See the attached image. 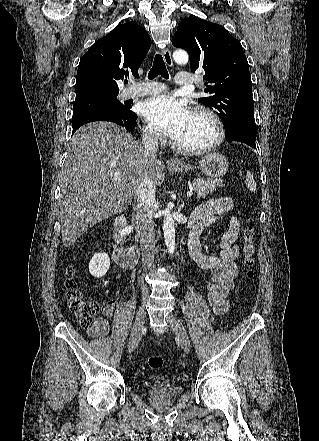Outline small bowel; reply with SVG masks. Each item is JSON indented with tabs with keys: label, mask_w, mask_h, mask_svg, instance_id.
I'll list each match as a JSON object with an SVG mask.
<instances>
[{
	"label": "small bowel",
	"mask_w": 319,
	"mask_h": 441,
	"mask_svg": "<svg viewBox=\"0 0 319 441\" xmlns=\"http://www.w3.org/2000/svg\"><path fill=\"white\" fill-rule=\"evenodd\" d=\"M233 206L234 202L231 197L211 199L198 206L189 220L191 226L188 239L189 254L201 269L210 272L206 296L217 314H223L228 309L227 296L233 289L234 280L238 275L236 259L239 256V247L236 242L240 222L236 217L230 216L228 229L220 241L218 255L203 253L200 238L205 229L214 224L218 218L228 214ZM116 305V301H109L101 306L104 316L98 317L95 325L86 329L88 336L104 338L110 333Z\"/></svg>",
	"instance_id": "small-bowel-1"
}]
</instances>
